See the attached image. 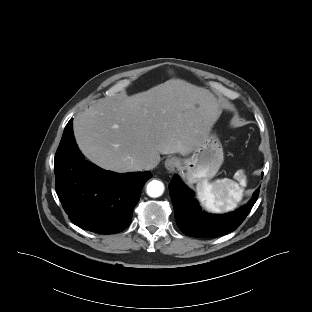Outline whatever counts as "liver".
Masks as SVG:
<instances>
[{"instance_id":"1","label":"liver","mask_w":312,"mask_h":312,"mask_svg":"<svg viewBox=\"0 0 312 312\" xmlns=\"http://www.w3.org/2000/svg\"><path fill=\"white\" fill-rule=\"evenodd\" d=\"M222 114L207 89L171 79L122 101L100 99L73 122L79 149L99 167L118 172L143 169L160 154L186 156L209 135Z\"/></svg>"}]
</instances>
